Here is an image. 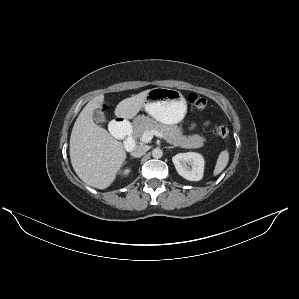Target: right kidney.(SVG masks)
Masks as SVG:
<instances>
[{
	"label": "right kidney",
	"instance_id": "ca27d5eb",
	"mask_svg": "<svg viewBox=\"0 0 299 299\" xmlns=\"http://www.w3.org/2000/svg\"><path fill=\"white\" fill-rule=\"evenodd\" d=\"M129 173H130V169H125L124 172H123L124 175H127Z\"/></svg>",
	"mask_w": 299,
	"mask_h": 299
}]
</instances>
